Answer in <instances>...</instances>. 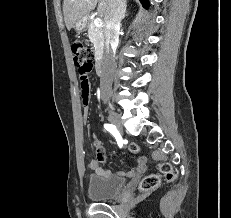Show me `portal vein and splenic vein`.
<instances>
[{
	"label": "portal vein and splenic vein",
	"mask_w": 231,
	"mask_h": 218,
	"mask_svg": "<svg viewBox=\"0 0 231 218\" xmlns=\"http://www.w3.org/2000/svg\"><path fill=\"white\" fill-rule=\"evenodd\" d=\"M94 24L96 26H101L102 25V20L101 18L97 17L96 19H94Z\"/></svg>",
	"instance_id": "18ae733b"
}]
</instances>
